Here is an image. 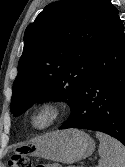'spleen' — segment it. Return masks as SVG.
<instances>
[{
    "label": "spleen",
    "instance_id": "1",
    "mask_svg": "<svg viewBox=\"0 0 125 167\" xmlns=\"http://www.w3.org/2000/svg\"><path fill=\"white\" fill-rule=\"evenodd\" d=\"M99 139L98 167H125V146L106 134L97 132Z\"/></svg>",
    "mask_w": 125,
    "mask_h": 167
}]
</instances>
